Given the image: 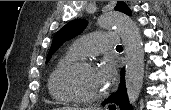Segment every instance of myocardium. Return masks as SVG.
Returning <instances> with one entry per match:
<instances>
[{"label": "myocardium", "mask_w": 171, "mask_h": 110, "mask_svg": "<svg viewBox=\"0 0 171 110\" xmlns=\"http://www.w3.org/2000/svg\"><path fill=\"white\" fill-rule=\"evenodd\" d=\"M81 69H95L92 62L87 60H76L65 65L58 74V86L60 90L70 99L77 103L94 104L100 102L108 95V89L102 94L95 97H85L76 92L69 83V79L73 73Z\"/></svg>", "instance_id": "f54148a6"}]
</instances>
